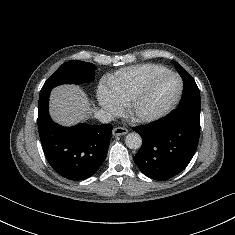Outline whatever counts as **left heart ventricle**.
<instances>
[{"mask_svg": "<svg viewBox=\"0 0 235 235\" xmlns=\"http://www.w3.org/2000/svg\"><path fill=\"white\" fill-rule=\"evenodd\" d=\"M179 90V82L174 77H163L156 80L141 104L140 111L144 114L158 112L170 104Z\"/></svg>", "mask_w": 235, "mask_h": 235, "instance_id": "b2bd125f", "label": "left heart ventricle"}]
</instances>
